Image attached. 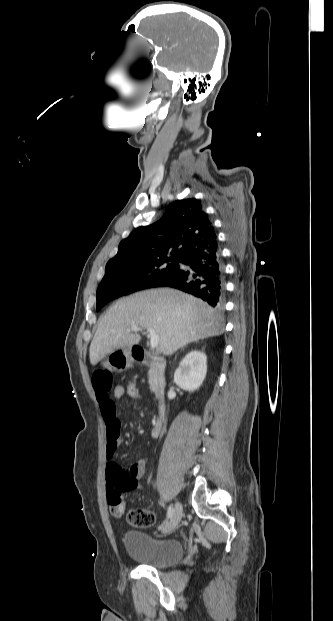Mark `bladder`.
<instances>
[{
  "label": "bladder",
  "instance_id": "bladder-1",
  "mask_svg": "<svg viewBox=\"0 0 333 621\" xmlns=\"http://www.w3.org/2000/svg\"><path fill=\"white\" fill-rule=\"evenodd\" d=\"M128 556L135 562L164 568L178 563L184 556V546L172 538L159 539L139 530H129L124 535Z\"/></svg>",
  "mask_w": 333,
  "mask_h": 621
}]
</instances>
